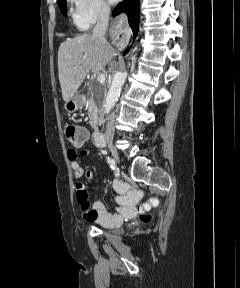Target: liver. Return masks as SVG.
Listing matches in <instances>:
<instances>
[{
  "label": "liver",
  "instance_id": "6515ba94",
  "mask_svg": "<svg viewBox=\"0 0 240 288\" xmlns=\"http://www.w3.org/2000/svg\"><path fill=\"white\" fill-rule=\"evenodd\" d=\"M114 49L91 34L67 38L58 50V74L65 102L72 98L87 74L98 73L113 59Z\"/></svg>",
  "mask_w": 240,
  "mask_h": 288
}]
</instances>
